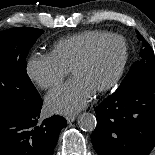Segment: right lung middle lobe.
Listing matches in <instances>:
<instances>
[{
	"label": "right lung middle lobe",
	"mask_w": 155,
	"mask_h": 155,
	"mask_svg": "<svg viewBox=\"0 0 155 155\" xmlns=\"http://www.w3.org/2000/svg\"><path fill=\"white\" fill-rule=\"evenodd\" d=\"M43 30L18 27L0 32V110H29L40 95L26 73V56Z\"/></svg>",
	"instance_id": "dd1d6c3e"
}]
</instances>
